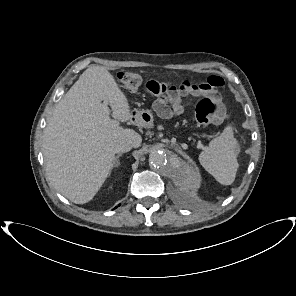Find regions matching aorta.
<instances>
[{"label": "aorta", "mask_w": 296, "mask_h": 296, "mask_svg": "<svg viewBox=\"0 0 296 296\" xmlns=\"http://www.w3.org/2000/svg\"><path fill=\"white\" fill-rule=\"evenodd\" d=\"M149 162L156 171L171 176L174 181L185 189L197 187L198 174L193 167L180 159V157L166 149H155L149 156Z\"/></svg>", "instance_id": "762f6f07"}]
</instances>
